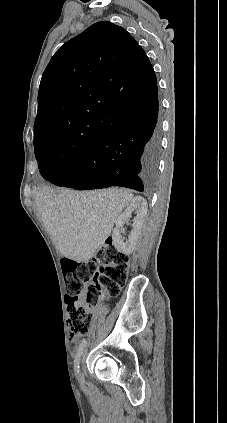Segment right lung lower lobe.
Segmentation results:
<instances>
[{
    "instance_id": "right-lung-lower-lobe-1",
    "label": "right lung lower lobe",
    "mask_w": 227,
    "mask_h": 423,
    "mask_svg": "<svg viewBox=\"0 0 227 423\" xmlns=\"http://www.w3.org/2000/svg\"><path fill=\"white\" fill-rule=\"evenodd\" d=\"M157 89L146 100L116 104L108 115L126 122L119 130L100 135L89 153L66 170L42 164L43 178L57 186L76 190L119 186L149 191L157 177L161 148Z\"/></svg>"
}]
</instances>
